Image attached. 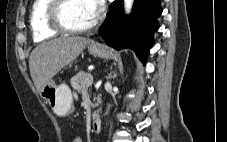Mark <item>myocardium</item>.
Segmentation results:
<instances>
[{
    "mask_svg": "<svg viewBox=\"0 0 227 142\" xmlns=\"http://www.w3.org/2000/svg\"><path fill=\"white\" fill-rule=\"evenodd\" d=\"M70 0H53L47 9V22L49 26L59 32L66 34H80L93 29L97 20L94 19L90 24L83 27H71L64 20V9Z\"/></svg>",
    "mask_w": 227,
    "mask_h": 142,
    "instance_id": "f54148a6",
    "label": "myocardium"
}]
</instances>
